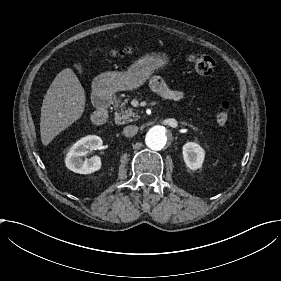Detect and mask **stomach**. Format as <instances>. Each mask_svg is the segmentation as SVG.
<instances>
[{"label": "stomach", "mask_w": 281, "mask_h": 281, "mask_svg": "<svg viewBox=\"0 0 281 281\" xmlns=\"http://www.w3.org/2000/svg\"><path fill=\"white\" fill-rule=\"evenodd\" d=\"M165 53L146 54L136 60L125 72H105L96 78L100 92L114 94L117 91L133 90L142 86L155 70L169 63Z\"/></svg>", "instance_id": "1"}]
</instances>
